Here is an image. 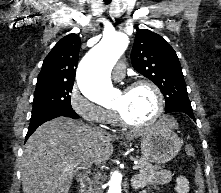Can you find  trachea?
Wrapping results in <instances>:
<instances>
[{"label":"trachea","mask_w":221,"mask_h":193,"mask_svg":"<svg viewBox=\"0 0 221 193\" xmlns=\"http://www.w3.org/2000/svg\"><path fill=\"white\" fill-rule=\"evenodd\" d=\"M105 4H109L111 0H104Z\"/></svg>","instance_id":"3493384b"}]
</instances>
